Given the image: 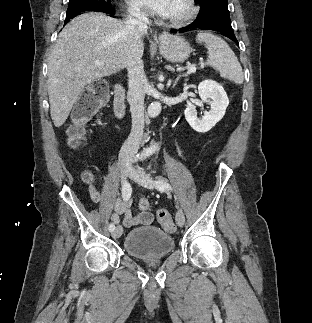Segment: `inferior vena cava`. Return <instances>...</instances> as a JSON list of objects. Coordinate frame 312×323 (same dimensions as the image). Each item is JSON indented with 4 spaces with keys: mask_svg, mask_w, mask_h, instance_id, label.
Wrapping results in <instances>:
<instances>
[{
    "mask_svg": "<svg viewBox=\"0 0 312 323\" xmlns=\"http://www.w3.org/2000/svg\"><path fill=\"white\" fill-rule=\"evenodd\" d=\"M123 24L127 34H130L133 38L131 60L127 64L129 78L128 98L132 116V128L130 136H128V140L124 144V148L137 152L143 138L145 126L144 98L148 84L144 74L143 60H141V50L143 48L142 36L148 30V14L140 12V10H131Z\"/></svg>",
    "mask_w": 312,
    "mask_h": 323,
    "instance_id": "602c4592",
    "label": "inferior vena cava"
}]
</instances>
